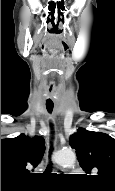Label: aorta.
I'll return each mask as SVG.
<instances>
[{"mask_svg": "<svg viewBox=\"0 0 115 191\" xmlns=\"http://www.w3.org/2000/svg\"><path fill=\"white\" fill-rule=\"evenodd\" d=\"M55 162L61 166L71 167L75 164L76 155L70 150H61L55 154Z\"/></svg>", "mask_w": 115, "mask_h": 191, "instance_id": "762f6f07", "label": "aorta"}]
</instances>
